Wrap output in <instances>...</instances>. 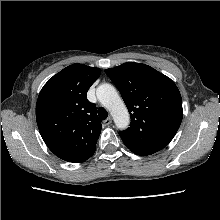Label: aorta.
<instances>
[{"instance_id": "762f6f07", "label": "aorta", "mask_w": 220, "mask_h": 220, "mask_svg": "<svg viewBox=\"0 0 220 220\" xmlns=\"http://www.w3.org/2000/svg\"><path fill=\"white\" fill-rule=\"evenodd\" d=\"M96 95L100 103L111 113L117 128H127L130 116L115 87L108 83L101 84L96 90Z\"/></svg>"}]
</instances>
